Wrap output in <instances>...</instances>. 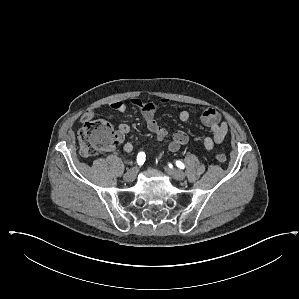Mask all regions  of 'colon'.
Instances as JSON below:
<instances>
[{
  "label": "colon",
  "instance_id": "colon-1",
  "mask_svg": "<svg viewBox=\"0 0 299 299\" xmlns=\"http://www.w3.org/2000/svg\"><path fill=\"white\" fill-rule=\"evenodd\" d=\"M117 134L112 125L105 119H91L86 121L78 132L79 151L83 157H91L100 152L114 148ZM215 157L218 162L225 163V154L217 152Z\"/></svg>",
  "mask_w": 299,
  "mask_h": 299
}]
</instances>
